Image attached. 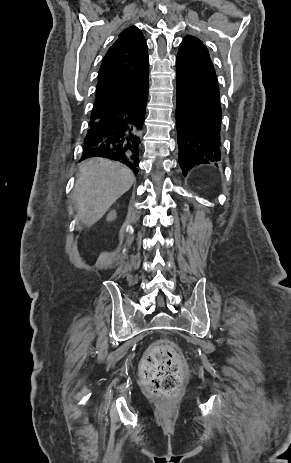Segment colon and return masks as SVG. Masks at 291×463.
<instances>
[{
  "mask_svg": "<svg viewBox=\"0 0 291 463\" xmlns=\"http://www.w3.org/2000/svg\"><path fill=\"white\" fill-rule=\"evenodd\" d=\"M141 374L151 394L160 399L172 396L185 376L178 349L169 342L149 348L142 361Z\"/></svg>",
  "mask_w": 291,
  "mask_h": 463,
  "instance_id": "obj_1",
  "label": "colon"
}]
</instances>
